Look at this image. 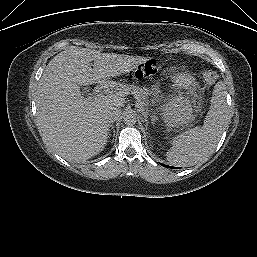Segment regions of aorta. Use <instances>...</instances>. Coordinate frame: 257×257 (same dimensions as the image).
I'll list each match as a JSON object with an SVG mask.
<instances>
[{
    "label": "aorta",
    "instance_id": "762f6f07",
    "mask_svg": "<svg viewBox=\"0 0 257 257\" xmlns=\"http://www.w3.org/2000/svg\"><path fill=\"white\" fill-rule=\"evenodd\" d=\"M123 122L126 125H134L137 122L136 113L133 110H128L123 114Z\"/></svg>",
    "mask_w": 257,
    "mask_h": 257
}]
</instances>
